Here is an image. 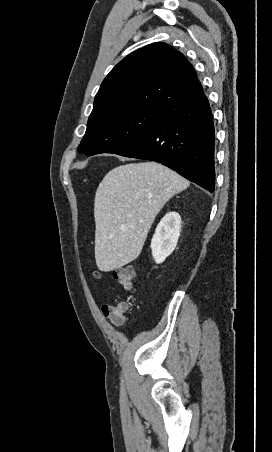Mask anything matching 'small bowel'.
I'll return each instance as SVG.
<instances>
[{"mask_svg": "<svg viewBox=\"0 0 272 452\" xmlns=\"http://www.w3.org/2000/svg\"><path fill=\"white\" fill-rule=\"evenodd\" d=\"M107 305L108 304L106 303L102 306V313L104 316L108 317L115 326H122L126 320V315H117L115 313L108 312V310H106Z\"/></svg>", "mask_w": 272, "mask_h": 452, "instance_id": "obj_1", "label": "small bowel"}]
</instances>
